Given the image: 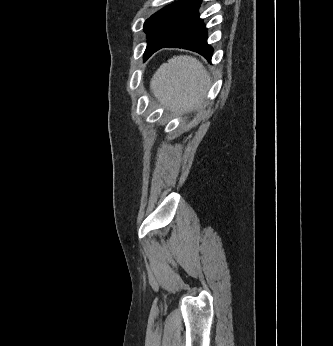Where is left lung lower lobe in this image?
I'll return each instance as SVG.
<instances>
[{"label": "left lung lower lobe", "instance_id": "obj_1", "mask_svg": "<svg viewBox=\"0 0 333 346\" xmlns=\"http://www.w3.org/2000/svg\"><path fill=\"white\" fill-rule=\"evenodd\" d=\"M208 33L199 13L168 39L154 44L145 54L147 60L154 52L161 48H183L195 51L211 61L213 48L207 43Z\"/></svg>", "mask_w": 333, "mask_h": 346}]
</instances>
